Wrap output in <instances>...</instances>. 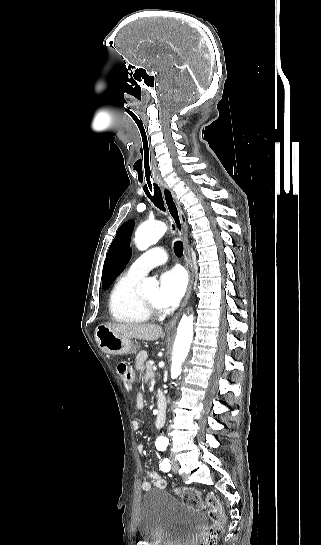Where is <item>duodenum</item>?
<instances>
[{
	"label": "duodenum",
	"instance_id": "duodenum-1",
	"mask_svg": "<svg viewBox=\"0 0 321 545\" xmlns=\"http://www.w3.org/2000/svg\"><path fill=\"white\" fill-rule=\"evenodd\" d=\"M156 404H157L156 426L158 428H162L164 425L165 416H166V400H165L164 394L161 391L157 392Z\"/></svg>",
	"mask_w": 321,
	"mask_h": 545
}]
</instances>
